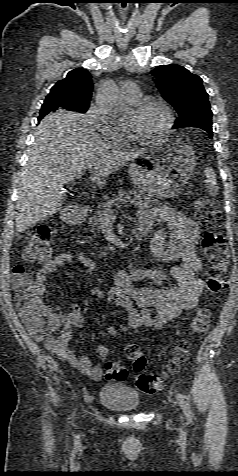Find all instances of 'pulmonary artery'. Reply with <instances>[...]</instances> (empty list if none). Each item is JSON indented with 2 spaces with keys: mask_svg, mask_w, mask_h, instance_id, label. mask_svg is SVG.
Instances as JSON below:
<instances>
[{
  "mask_svg": "<svg viewBox=\"0 0 238 476\" xmlns=\"http://www.w3.org/2000/svg\"><path fill=\"white\" fill-rule=\"evenodd\" d=\"M121 95L125 101L134 103L139 100L141 93L136 83L126 81L121 85Z\"/></svg>",
  "mask_w": 238,
  "mask_h": 476,
  "instance_id": "e3ab8cb5",
  "label": "pulmonary artery"
}]
</instances>
